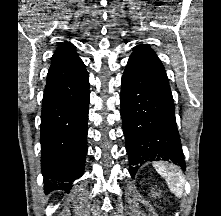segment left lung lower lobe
<instances>
[{
  "instance_id": "left-lung-lower-lobe-1",
  "label": "left lung lower lobe",
  "mask_w": 221,
  "mask_h": 216,
  "mask_svg": "<svg viewBox=\"0 0 221 216\" xmlns=\"http://www.w3.org/2000/svg\"><path fill=\"white\" fill-rule=\"evenodd\" d=\"M120 104L131 177L146 161L171 160L185 170L168 78L147 44L136 45L130 55Z\"/></svg>"
}]
</instances>
